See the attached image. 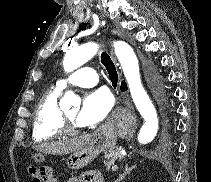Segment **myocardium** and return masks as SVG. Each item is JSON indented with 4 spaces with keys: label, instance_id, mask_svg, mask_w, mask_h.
Wrapping results in <instances>:
<instances>
[{
    "label": "myocardium",
    "instance_id": "1",
    "mask_svg": "<svg viewBox=\"0 0 211 182\" xmlns=\"http://www.w3.org/2000/svg\"><path fill=\"white\" fill-rule=\"evenodd\" d=\"M61 124L63 134L76 135L81 131L80 127L63 111L61 113Z\"/></svg>",
    "mask_w": 211,
    "mask_h": 182
}]
</instances>
